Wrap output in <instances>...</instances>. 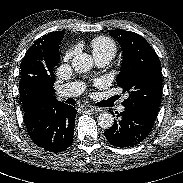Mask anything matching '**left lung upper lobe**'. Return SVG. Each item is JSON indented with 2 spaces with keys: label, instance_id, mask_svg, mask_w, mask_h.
Masks as SVG:
<instances>
[{
  "label": "left lung upper lobe",
  "instance_id": "1",
  "mask_svg": "<svg viewBox=\"0 0 183 183\" xmlns=\"http://www.w3.org/2000/svg\"><path fill=\"white\" fill-rule=\"evenodd\" d=\"M118 38L124 60L117 76L118 86L129 97L122 103L156 120L162 97V74L158 55L139 34L125 30H109Z\"/></svg>",
  "mask_w": 183,
  "mask_h": 183
}]
</instances>
